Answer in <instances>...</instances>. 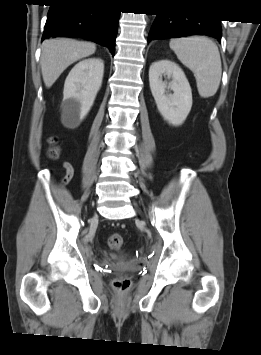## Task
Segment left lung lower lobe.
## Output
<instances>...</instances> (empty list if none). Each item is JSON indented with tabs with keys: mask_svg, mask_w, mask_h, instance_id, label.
<instances>
[{
	"mask_svg": "<svg viewBox=\"0 0 261 355\" xmlns=\"http://www.w3.org/2000/svg\"><path fill=\"white\" fill-rule=\"evenodd\" d=\"M190 35L212 36L221 41L220 20L157 15L149 32L148 42L156 38H179Z\"/></svg>",
	"mask_w": 261,
	"mask_h": 355,
	"instance_id": "left-lung-lower-lobe-1",
	"label": "left lung lower lobe"
}]
</instances>
